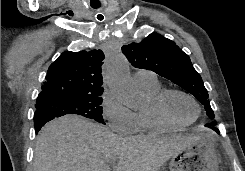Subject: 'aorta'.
Masks as SVG:
<instances>
[{"instance_id": "aorta-1", "label": "aorta", "mask_w": 245, "mask_h": 171, "mask_svg": "<svg viewBox=\"0 0 245 171\" xmlns=\"http://www.w3.org/2000/svg\"><path fill=\"white\" fill-rule=\"evenodd\" d=\"M105 82L110 91L128 108L137 110L142 100L129 72V63L118 55L104 69Z\"/></svg>"}]
</instances>
